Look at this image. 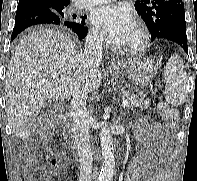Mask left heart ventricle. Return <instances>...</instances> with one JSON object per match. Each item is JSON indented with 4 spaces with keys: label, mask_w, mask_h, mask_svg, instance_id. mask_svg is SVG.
<instances>
[{
    "label": "left heart ventricle",
    "mask_w": 197,
    "mask_h": 181,
    "mask_svg": "<svg viewBox=\"0 0 197 181\" xmlns=\"http://www.w3.org/2000/svg\"><path fill=\"white\" fill-rule=\"evenodd\" d=\"M138 39V31L134 26L127 35L119 42L121 45H131L134 44Z\"/></svg>",
    "instance_id": "left-heart-ventricle-1"
}]
</instances>
